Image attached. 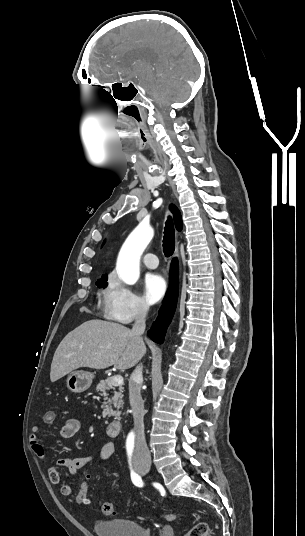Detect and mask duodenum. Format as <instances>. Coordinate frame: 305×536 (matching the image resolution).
Instances as JSON below:
<instances>
[{
    "label": "duodenum",
    "mask_w": 305,
    "mask_h": 536,
    "mask_svg": "<svg viewBox=\"0 0 305 536\" xmlns=\"http://www.w3.org/2000/svg\"><path fill=\"white\" fill-rule=\"evenodd\" d=\"M122 425L119 421H112L105 427V431L110 436H117L121 433Z\"/></svg>",
    "instance_id": "1"
}]
</instances>
